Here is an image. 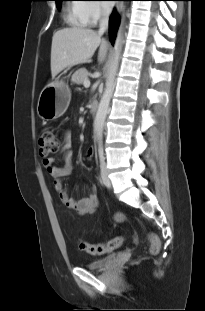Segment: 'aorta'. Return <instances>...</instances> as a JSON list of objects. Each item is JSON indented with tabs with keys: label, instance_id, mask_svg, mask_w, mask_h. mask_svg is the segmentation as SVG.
<instances>
[{
	"label": "aorta",
	"instance_id": "obj_1",
	"mask_svg": "<svg viewBox=\"0 0 205 311\" xmlns=\"http://www.w3.org/2000/svg\"><path fill=\"white\" fill-rule=\"evenodd\" d=\"M123 43L124 40L121 34V27H120L114 43L113 57L109 63V68L107 71L105 90L101 97L99 107L94 120V132L96 139L99 141L102 140L104 123L109 109V103L115 88V79L119 67Z\"/></svg>",
	"mask_w": 205,
	"mask_h": 311
}]
</instances>
